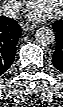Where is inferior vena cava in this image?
<instances>
[{
    "label": "inferior vena cava",
    "mask_w": 63,
    "mask_h": 107,
    "mask_svg": "<svg viewBox=\"0 0 63 107\" xmlns=\"http://www.w3.org/2000/svg\"><path fill=\"white\" fill-rule=\"evenodd\" d=\"M21 3L16 0H5L1 2V14L9 18L17 19Z\"/></svg>",
    "instance_id": "602c4592"
}]
</instances>
